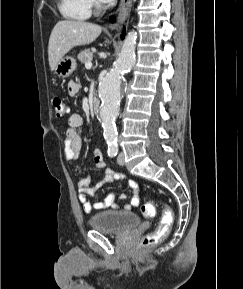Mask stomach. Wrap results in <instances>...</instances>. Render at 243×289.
Listing matches in <instances>:
<instances>
[{
  "label": "stomach",
  "instance_id": "stomach-1",
  "mask_svg": "<svg viewBox=\"0 0 243 289\" xmlns=\"http://www.w3.org/2000/svg\"><path fill=\"white\" fill-rule=\"evenodd\" d=\"M76 66L77 63L73 57H65L58 62L54 71L59 77L66 78L75 71Z\"/></svg>",
  "mask_w": 243,
  "mask_h": 289
}]
</instances>
